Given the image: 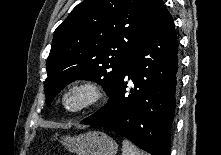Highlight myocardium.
<instances>
[{"mask_svg": "<svg viewBox=\"0 0 221 155\" xmlns=\"http://www.w3.org/2000/svg\"><path fill=\"white\" fill-rule=\"evenodd\" d=\"M78 95L81 101L78 105L70 107L68 99ZM104 97V88L96 80L83 79L69 84L60 96V104L62 108L71 114H78L87 111L96 106Z\"/></svg>", "mask_w": 221, "mask_h": 155, "instance_id": "1", "label": "myocardium"}]
</instances>
